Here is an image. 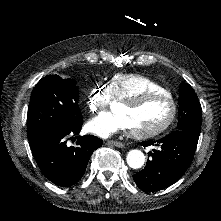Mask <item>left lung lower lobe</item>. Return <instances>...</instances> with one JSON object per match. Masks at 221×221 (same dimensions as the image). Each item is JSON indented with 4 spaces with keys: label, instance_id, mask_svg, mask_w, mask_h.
<instances>
[{
    "label": "left lung lower lobe",
    "instance_id": "left-lung-lower-lobe-1",
    "mask_svg": "<svg viewBox=\"0 0 221 221\" xmlns=\"http://www.w3.org/2000/svg\"><path fill=\"white\" fill-rule=\"evenodd\" d=\"M160 146V150L150 152L152 160L145 168L134 174L137 186L145 192L165 189L175 183L190 166L196 150L198 138L176 130L158 141H144L142 145Z\"/></svg>",
    "mask_w": 221,
    "mask_h": 221
}]
</instances>
